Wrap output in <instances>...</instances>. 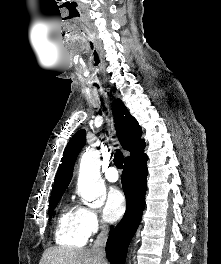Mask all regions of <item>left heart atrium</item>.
I'll list each match as a JSON object with an SVG mask.
<instances>
[{
	"instance_id": "1",
	"label": "left heart atrium",
	"mask_w": 221,
	"mask_h": 264,
	"mask_svg": "<svg viewBox=\"0 0 221 264\" xmlns=\"http://www.w3.org/2000/svg\"><path fill=\"white\" fill-rule=\"evenodd\" d=\"M126 201L124 194L118 188H111L107 195L103 208L104 218L114 222L122 217L125 212Z\"/></svg>"
}]
</instances>
